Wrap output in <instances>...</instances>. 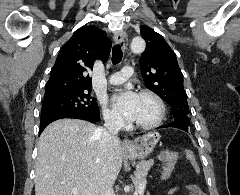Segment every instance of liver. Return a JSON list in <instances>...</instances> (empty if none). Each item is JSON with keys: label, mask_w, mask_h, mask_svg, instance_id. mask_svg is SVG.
Masks as SVG:
<instances>
[{"label": "liver", "mask_w": 240, "mask_h": 195, "mask_svg": "<svg viewBox=\"0 0 240 195\" xmlns=\"http://www.w3.org/2000/svg\"><path fill=\"white\" fill-rule=\"evenodd\" d=\"M96 129L84 119H57L45 127L35 163V195H100L106 183H115L124 147L120 139L99 145Z\"/></svg>", "instance_id": "1"}]
</instances>
